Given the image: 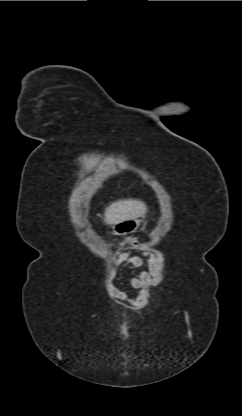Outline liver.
Listing matches in <instances>:
<instances>
[{"label": "liver", "instance_id": "1", "mask_svg": "<svg viewBox=\"0 0 242 416\" xmlns=\"http://www.w3.org/2000/svg\"><path fill=\"white\" fill-rule=\"evenodd\" d=\"M147 206L138 199H121L112 202L104 213V222L114 225L125 220L136 219L145 215Z\"/></svg>", "mask_w": 242, "mask_h": 416}]
</instances>
